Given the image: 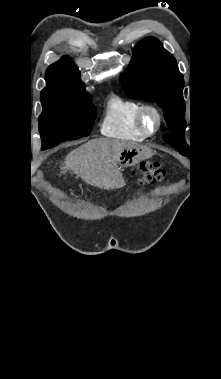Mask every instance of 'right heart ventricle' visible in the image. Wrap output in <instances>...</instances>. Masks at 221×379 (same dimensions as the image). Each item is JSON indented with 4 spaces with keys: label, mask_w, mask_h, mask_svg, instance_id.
Wrapping results in <instances>:
<instances>
[{
    "label": "right heart ventricle",
    "mask_w": 221,
    "mask_h": 379,
    "mask_svg": "<svg viewBox=\"0 0 221 379\" xmlns=\"http://www.w3.org/2000/svg\"><path fill=\"white\" fill-rule=\"evenodd\" d=\"M141 106V103L133 100L112 97L102 121V132L121 139L143 140L145 136L137 124V114Z\"/></svg>",
    "instance_id": "obj_1"
}]
</instances>
